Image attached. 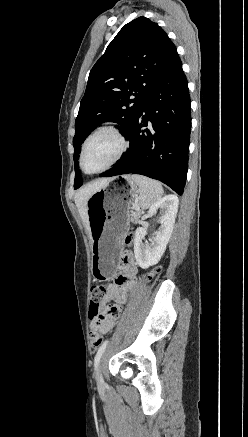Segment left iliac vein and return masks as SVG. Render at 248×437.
I'll return each mask as SVG.
<instances>
[{"label": "left iliac vein", "instance_id": "1", "mask_svg": "<svg viewBox=\"0 0 248 437\" xmlns=\"http://www.w3.org/2000/svg\"><path fill=\"white\" fill-rule=\"evenodd\" d=\"M95 378L97 380V384L100 386L103 384V376H102V369L101 365L98 366L97 371L95 373Z\"/></svg>", "mask_w": 248, "mask_h": 437}]
</instances>
